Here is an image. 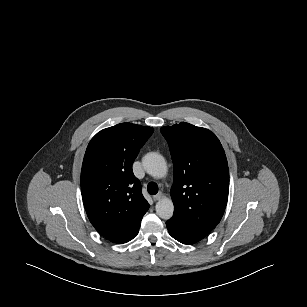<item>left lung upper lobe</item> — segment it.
<instances>
[{"label":"left lung upper lobe","instance_id":"5c2ea615","mask_svg":"<svg viewBox=\"0 0 307 307\" xmlns=\"http://www.w3.org/2000/svg\"><path fill=\"white\" fill-rule=\"evenodd\" d=\"M174 164L173 219L205 237L220 222L228 199L224 149L210 130L181 122L162 127Z\"/></svg>","mask_w":307,"mask_h":307}]
</instances>
